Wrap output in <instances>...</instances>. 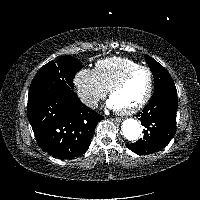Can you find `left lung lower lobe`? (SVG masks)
<instances>
[{
  "label": "left lung lower lobe",
  "instance_id": "left-lung-lower-lobe-1",
  "mask_svg": "<svg viewBox=\"0 0 200 200\" xmlns=\"http://www.w3.org/2000/svg\"><path fill=\"white\" fill-rule=\"evenodd\" d=\"M177 90L156 91L149 104L138 114L146 128L144 137L127 147L137 154H151L163 149L176 132Z\"/></svg>",
  "mask_w": 200,
  "mask_h": 200
}]
</instances>
